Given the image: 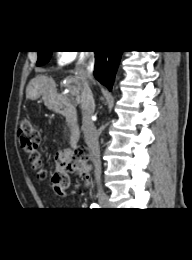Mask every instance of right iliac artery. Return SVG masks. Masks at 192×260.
Wrapping results in <instances>:
<instances>
[{
    "instance_id": "right-iliac-artery-1",
    "label": "right iliac artery",
    "mask_w": 192,
    "mask_h": 260,
    "mask_svg": "<svg viewBox=\"0 0 192 260\" xmlns=\"http://www.w3.org/2000/svg\"><path fill=\"white\" fill-rule=\"evenodd\" d=\"M91 208H93V209H98V208H99V205H97V204H92V205H91Z\"/></svg>"
}]
</instances>
